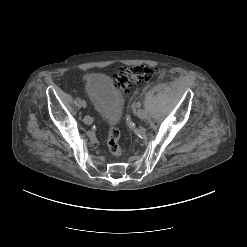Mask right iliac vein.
<instances>
[{
    "instance_id": "right-iliac-vein-1",
    "label": "right iliac vein",
    "mask_w": 247,
    "mask_h": 247,
    "mask_svg": "<svg viewBox=\"0 0 247 247\" xmlns=\"http://www.w3.org/2000/svg\"><path fill=\"white\" fill-rule=\"evenodd\" d=\"M84 122H85L87 125H90V124L93 122V119H92L90 116H85V117H84Z\"/></svg>"
}]
</instances>
